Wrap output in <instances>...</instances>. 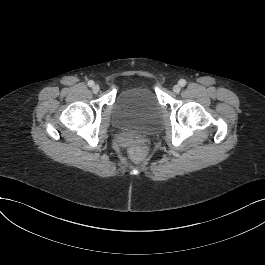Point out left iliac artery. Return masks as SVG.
Returning a JSON list of instances; mask_svg holds the SVG:
<instances>
[{"label": "left iliac artery", "instance_id": "44dca946", "mask_svg": "<svg viewBox=\"0 0 265 265\" xmlns=\"http://www.w3.org/2000/svg\"><path fill=\"white\" fill-rule=\"evenodd\" d=\"M178 83L181 87H184L186 85V81L184 79H180Z\"/></svg>", "mask_w": 265, "mask_h": 265}]
</instances>
